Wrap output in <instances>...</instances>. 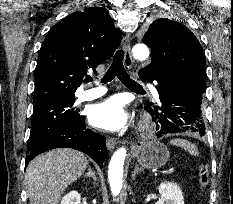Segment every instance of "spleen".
Listing matches in <instances>:
<instances>
[{
    "instance_id": "3e777b00",
    "label": "spleen",
    "mask_w": 233,
    "mask_h": 204,
    "mask_svg": "<svg viewBox=\"0 0 233 204\" xmlns=\"http://www.w3.org/2000/svg\"><path fill=\"white\" fill-rule=\"evenodd\" d=\"M170 144L181 147L188 151L191 155H198V150L191 142L184 139H173L170 141Z\"/></svg>"
}]
</instances>
